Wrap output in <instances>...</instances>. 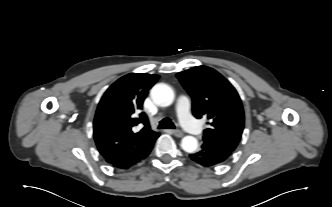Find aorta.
I'll list each match as a JSON object with an SVG mask.
<instances>
[{"label":"aorta","instance_id":"aorta-1","mask_svg":"<svg viewBox=\"0 0 332 207\" xmlns=\"http://www.w3.org/2000/svg\"><path fill=\"white\" fill-rule=\"evenodd\" d=\"M151 98L159 106H169L174 101V92L170 86L158 83L151 89ZM181 147L185 152L193 153L198 148V141L193 136H185L181 140Z\"/></svg>","mask_w":332,"mask_h":207}]
</instances>
